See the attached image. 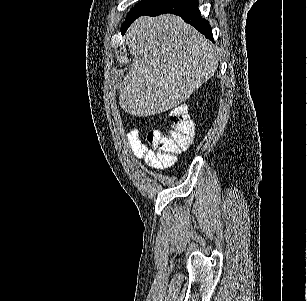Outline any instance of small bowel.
I'll list each match as a JSON object with an SVG mask.
<instances>
[{"label": "small bowel", "instance_id": "obj_1", "mask_svg": "<svg viewBox=\"0 0 307 301\" xmlns=\"http://www.w3.org/2000/svg\"><path fill=\"white\" fill-rule=\"evenodd\" d=\"M127 144L132 154L136 158L143 159L150 168L161 170L165 167L158 156L142 142L137 128L128 131Z\"/></svg>", "mask_w": 307, "mask_h": 301}]
</instances>
